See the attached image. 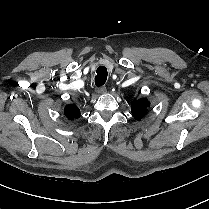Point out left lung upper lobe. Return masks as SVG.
Returning a JSON list of instances; mask_svg holds the SVG:
<instances>
[{"mask_svg":"<svg viewBox=\"0 0 209 209\" xmlns=\"http://www.w3.org/2000/svg\"><path fill=\"white\" fill-rule=\"evenodd\" d=\"M150 103L146 98H141L132 102V114L136 120H140L143 118L147 113V108L149 107Z\"/></svg>","mask_w":209,"mask_h":209,"instance_id":"left-lung-upper-lobe-1","label":"left lung upper lobe"}]
</instances>
